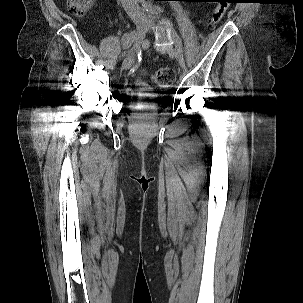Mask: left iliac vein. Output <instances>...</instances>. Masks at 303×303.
<instances>
[{
	"label": "left iliac vein",
	"mask_w": 303,
	"mask_h": 303,
	"mask_svg": "<svg viewBox=\"0 0 303 303\" xmlns=\"http://www.w3.org/2000/svg\"><path fill=\"white\" fill-rule=\"evenodd\" d=\"M147 24L149 27L158 31L159 34L166 36L174 43V47L171 50V55L175 57L182 68L185 67V63L182 55V42L176 31L168 24L154 23L152 20H148Z\"/></svg>",
	"instance_id": "left-iliac-vein-1"
}]
</instances>
